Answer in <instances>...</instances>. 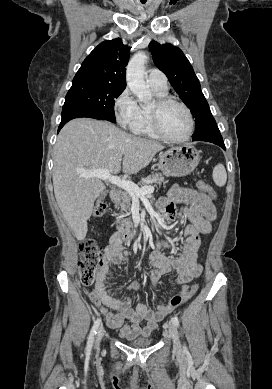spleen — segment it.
I'll list each match as a JSON object with an SVG mask.
<instances>
[{
    "instance_id": "spleen-1",
    "label": "spleen",
    "mask_w": 272,
    "mask_h": 389,
    "mask_svg": "<svg viewBox=\"0 0 272 389\" xmlns=\"http://www.w3.org/2000/svg\"><path fill=\"white\" fill-rule=\"evenodd\" d=\"M212 177H213L214 183L217 186H219V187L224 186L226 184V181H227V173H226L224 165H222V164L216 165L213 169Z\"/></svg>"
}]
</instances>
